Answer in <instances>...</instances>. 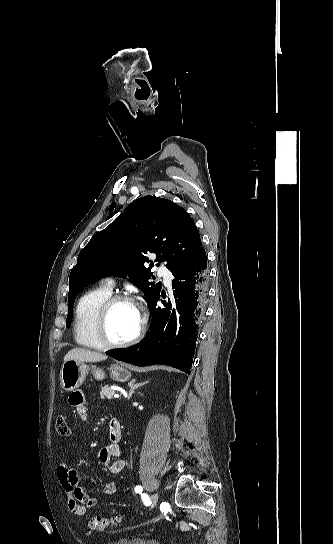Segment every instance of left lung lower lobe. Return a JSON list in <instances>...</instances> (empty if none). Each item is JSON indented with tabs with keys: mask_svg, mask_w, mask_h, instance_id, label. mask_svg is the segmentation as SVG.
Segmentation results:
<instances>
[{
	"mask_svg": "<svg viewBox=\"0 0 333 544\" xmlns=\"http://www.w3.org/2000/svg\"><path fill=\"white\" fill-rule=\"evenodd\" d=\"M172 274L174 300H164L165 308H156L162 296L159 294L149 304L153 322L146 337L132 347L109 350L107 355L137 366L165 364L190 373L208 288L205 249L201 246L186 265Z\"/></svg>",
	"mask_w": 333,
	"mask_h": 544,
	"instance_id": "0a47b994",
	"label": "left lung lower lobe"
}]
</instances>
